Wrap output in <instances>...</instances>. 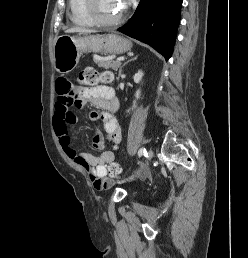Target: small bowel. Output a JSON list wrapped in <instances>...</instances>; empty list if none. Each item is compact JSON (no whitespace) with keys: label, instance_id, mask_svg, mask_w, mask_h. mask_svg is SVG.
I'll use <instances>...</instances> for the list:
<instances>
[{"label":"small bowel","instance_id":"1","mask_svg":"<svg viewBox=\"0 0 248 258\" xmlns=\"http://www.w3.org/2000/svg\"><path fill=\"white\" fill-rule=\"evenodd\" d=\"M56 91L53 127L61 146L68 157L87 171L96 190H110L114 181L105 176L110 166L116 162L115 152L119 149L122 139L121 128L112 114L119 109V101L113 89L107 85H97L85 88L74 96L69 80L61 78L56 82ZM88 103L103 109L101 112L92 111L89 115L92 121L101 120L105 131V137L99 134L94 137L93 147L103 150L106 141L111 143V150L104 151L99 156L77 150L72 143L71 133L76 131L70 127L78 122V116L71 107L82 109Z\"/></svg>","mask_w":248,"mask_h":258}]
</instances>
